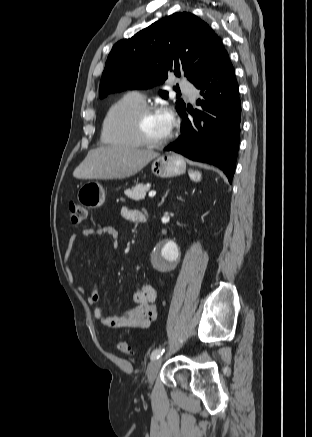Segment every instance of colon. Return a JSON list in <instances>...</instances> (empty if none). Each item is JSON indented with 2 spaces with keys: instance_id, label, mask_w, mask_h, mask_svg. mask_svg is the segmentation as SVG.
Here are the masks:
<instances>
[{
  "instance_id": "colon-1",
  "label": "colon",
  "mask_w": 312,
  "mask_h": 437,
  "mask_svg": "<svg viewBox=\"0 0 312 437\" xmlns=\"http://www.w3.org/2000/svg\"><path fill=\"white\" fill-rule=\"evenodd\" d=\"M67 208L71 223L73 225H80L86 217V208L75 201H69ZM118 347L119 350L124 354H131L133 351V347L125 341L120 342Z\"/></svg>"
}]
</instances>
